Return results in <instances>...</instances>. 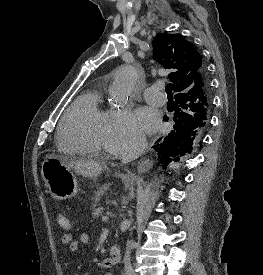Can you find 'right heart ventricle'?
<instances>
[{
	"mask_svg": "<svg viewBox=\"0 0 263 275\" xmlns=\"http://www.w3.org/2000/svg\"><path fill=\"white\" fill-rule=\"evenodd\" d=\"M110 111L101 105V94L87 90L64 113L57 144L70 155H98L105 148V130Z\"/></svg>",
	"mask_w": 263,
	"mask_h": 275,
	"instance_id": "right-heart-ventricle-1",
	"label": "right heart ventricle"
}]
</instances>
